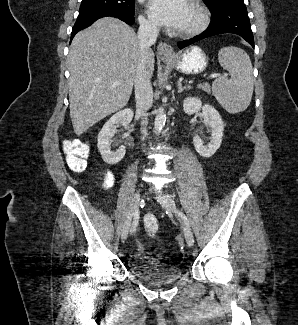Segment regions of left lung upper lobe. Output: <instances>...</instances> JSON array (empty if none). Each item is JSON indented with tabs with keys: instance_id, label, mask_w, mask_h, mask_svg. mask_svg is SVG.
<instances>
[{
	"instance_id": "obj_1",
	"label": "left lung upper lobe",
	"mask_w": 298,
	"mask_h": 325,
	"mask_svg": "<svg viewBox=\"0 0 298 325\" xmlns=\"http://www.w3.org/2000/svg\"><path fill=\"white\" fill-rule=\"evenodd\" d=\"M212 10V14H215L220 9L229 6L234 3L243 2V0H204Z\"/></svg>"
}]
</instances>
